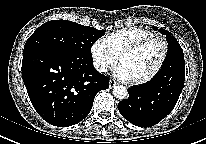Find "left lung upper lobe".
I'll return each mask as SVG.
<instances>
[{
  "instance_id": "5c2ea615",
  "label": "left lung upper lobe",
  "mask_w": 206,
  "mask_h": 144,
  "mask_svg": "<svg viewBox=\"0 0 206 144\" xmlns=\"http://www.w3.org/2000/svg\"><path fill=\"white\" fill-rule=\"evenodd\" d=\"M156 29L157 27H154V30ZM159 32L166 35V40L168 42V51L164 63L157 75L171 66H185L183 50L175 37L169 31L162 28L159 29Z\"/></svg>"
}]
</instances>
